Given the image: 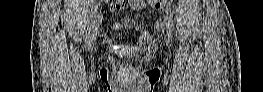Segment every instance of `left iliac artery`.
Returning <instances> with one entry per match:
<instances>
[{"instance_id": "44dca946", "label": "left iliac artery", "mask_w": 263, "mask_h": 92, "mask_svg": "<svg viewBox=\"0 0 263 92\" xmlns=\"http://www.w3.org/2000/svg\"><path fill=\"white\" fill-rule=\"evenodd\" d=\"M167 36H168V41L170 42L172 40V34H171V30L169 28V23L167 25Z\"/></svg>"}]
</instances>
